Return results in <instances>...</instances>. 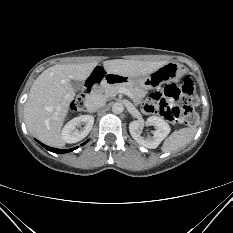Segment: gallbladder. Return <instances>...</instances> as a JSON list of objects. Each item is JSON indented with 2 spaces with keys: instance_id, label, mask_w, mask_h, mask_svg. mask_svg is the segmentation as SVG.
I'll return each instance as SVG.
<instances>
[{
  "instance_id": "1",
  "label": "gallbladder",
  "mask_w": 233,
  "mask_h": 233,
  "mask_svg": "<svg viewBox=\"0 0 233 233\" xmlns=\"http://www.w3.org/2000/svg\"><path fill=\"white\" fill-rule=\"evenodd\" d=\"M71 86L75 91H79L83 89V84L80 81H76V80H71Z\"/></svg>"
}]
</instances>
